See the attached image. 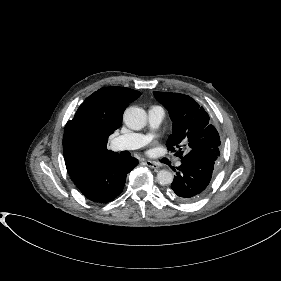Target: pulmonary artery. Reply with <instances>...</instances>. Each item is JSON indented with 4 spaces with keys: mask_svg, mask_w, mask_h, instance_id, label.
<instances>
[{
    "mask_svg": "<svg viewBox=\"0 0 281 281\" xmlns=\"http://www.w3.org/2000/svg\"><path fill=\"white\" fill-rule=\"evenodd\" d=\"M165 116L164 109L160 106H151L148 110L149 126L156 129L160 126ZM152 136L151 134L128 133L118 136L113 141L115 150H135L146 145ZM181 163H178L180 165Z\"/></svg>",
    "mask_w": 281,
    "mask_h": 281,
    "instance_id": "obj_1",
    "label": "pulmonary artery"
}]
</instances>
